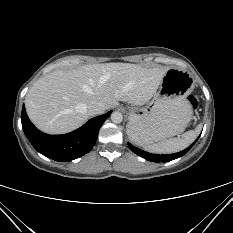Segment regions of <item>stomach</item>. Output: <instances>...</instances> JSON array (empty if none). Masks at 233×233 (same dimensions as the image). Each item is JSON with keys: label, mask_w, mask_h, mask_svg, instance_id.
<instances>
[{"label": "stomach", "mask_w": 233, "mask_h": 233, "mask_svg": "<svg viewBox=\"0 0 233 233\" xmlns=\"http://www.w3.org/2000/svg\"><path fill=\"white\" fill-rule=\"evenodd\" d=\"M194 89L191 74L169 68L154 98L145 107H129L127 133L154 144L184 131L193 111L187 97Z\"/></svg>", "instance_id": "1"}]
</instances>
